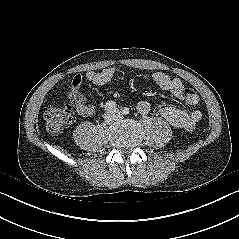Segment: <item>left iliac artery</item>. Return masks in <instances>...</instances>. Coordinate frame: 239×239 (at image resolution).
I'll return each instance as SVG.
<instances>
[{
	"label": "left iliac artery",
	"mask_w": 239,
	"mask_h": 239,
	"mask_svg": "<svg viewBox=\"0 0 239 239\" xmlns=\"http://www.w3.org/2000/svg\"><path fill=\"white\" fill-rule=\"evenodd\" d=\"M121 110H122V114H123V115H127V114H129V108L124 107V108L121 109Z\"/></svg>",
	"instance_id": "1"
}]
</instances>
